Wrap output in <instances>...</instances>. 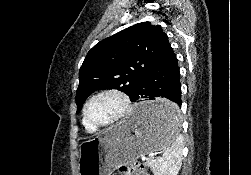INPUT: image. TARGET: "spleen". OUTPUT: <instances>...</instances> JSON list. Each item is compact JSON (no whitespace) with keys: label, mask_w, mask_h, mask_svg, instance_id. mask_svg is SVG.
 Returning a JSON list of instances; mask_svg holds the SVG:
<instances>
[{"label":"spleen","mask_w":251,"mask_h":175,"mask_svg":"<svg viewBox=\"0 0 251 175\" xmlns=\"http://www.w3.org/2000/svg\"><path fill=\"white\" fill-rule=\"evenodd\" d=\"M170 119H173L174 135L171 147L164 153V157L150 161L154 175H177L182 161V135L179 133L180 121L177 109H169Z\"/></svg>","instance_id":"1"}]
</instances>
